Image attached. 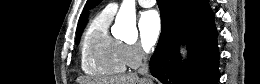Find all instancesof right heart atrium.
I'll use <instances>...</instances> for the list:
<instances>
[{
  "label": "right heart atrium",
  "instance_id": "obj_1",
  "mask_svg": "<svg viewBox=\"0 0 260 84\" xmlns=\"http://www.w3.org/2000/svg\"><path fill=\"white\" fill-rule=\"evenodd\" d=\"M123 56L126 65L137 67L144 60L146 52L138 44H123Z\"/></svg>",
  "mask_w": 260,
  "mask_h": 84
}]
</instances>
